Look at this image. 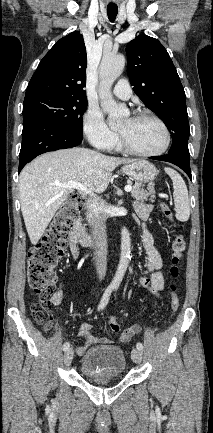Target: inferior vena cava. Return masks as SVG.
Masks as SVG:
<instances>
[{
	"label": "inferior vena cava",
	"mask_w": 213,
	"mask_h": 433,
	"mask_svg": "<svg viewBox=\"0 0 213 433\" xmlns=\"http://www.w3.org/2000/svg\"><path fill=\"white\" fill-rule=\"evenodd\" d=\"M86 208L88 210L87 217L89 218L92 227V236L94 240V261L99 275L102 280L106 274L107 266V235H106V216L104 204L98 200H88Z\"/></svg>",
	"instance_id": "602c4592"
}]
</instances>
